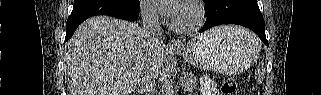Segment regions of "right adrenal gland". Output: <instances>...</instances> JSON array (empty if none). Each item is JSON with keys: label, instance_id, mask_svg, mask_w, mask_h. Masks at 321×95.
Here are the masks:
<instances>
[{"label": "right adrenal gland", "instance_id": "2a0ac1e0", "mask_svg": "<svg viewBox=\"0 0 321 95\" xmlns=\"http://www.w3.org/2000/svg\"><path fill=\"white\" fill-rule=\"evenodd\" d=\"M139 94H141V92L140 91H137Z\"/></svg>", "mask_w": 321, "mask_h": 95}]
</instances>
